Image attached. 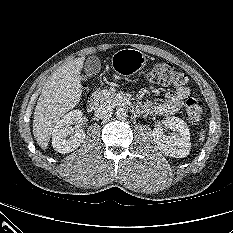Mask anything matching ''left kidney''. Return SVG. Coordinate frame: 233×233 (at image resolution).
Masks as SVG:
<instances>
[{
    "instance_id": "1",
    "label": "left kidney",
    "mask_w": 233,
    "mask_h": 233,
    "mask_svg": "<svg viewBox=\"0 0 233 233\" xmlns=\"http://www.w3.org/2000/svg\"><path fill=\"white\" fill-rule=\"evenodd\" d=\"M165 126L173 133L166 135L162 126H157L152 133L157 148L170 157H186L191 147L188 125L178 117H168L165 120Z\"/></svg>"
}]
</instances>
